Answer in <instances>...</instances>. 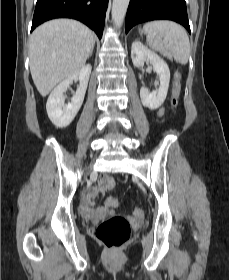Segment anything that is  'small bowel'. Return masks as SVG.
Segmentation results:
<instances>
[{"mask_svg":"<svg viewBox=\"0 0 229 280\" xmlns=\"http://www.w3.org/2000/svg\"><path fill=\"white\" fill-rule=\"evenodd\" d=\"M156 114L158 117H161L164 114V109L159 108ZM101 194L106 195L107 191L99 185H94L85 192L82 205L80 206V213L83 216H102L112 211L117 206V200L112 196H106L104 206H96L95 199Z\"/></svg>","mask_w":229,"mask_h":280,"instance_id":"1","label":"small bowel"}]
</instances>
